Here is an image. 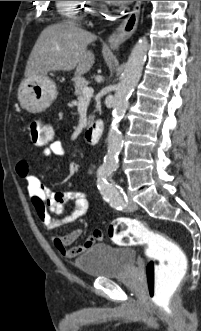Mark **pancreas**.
<instances>
[{
  "mask_svg": "<svg viewBox=\"0 0 201 331\" xmlns=\"http://www.w3.org/2000/svg\"><path fill=\"white\" fill-rule=\"evenodd\" d=\"M73 86H74V89H75V95L80 98L82 97V90L84 87L88 86V81L85 79V78H82V77H75L73 78ZM94 119V115H90L89 116V123H91Z\"/></svg>",
  "mask_w": 201,
  "mask_h": 331,
  "instance_id": "1",
  "label": "pancreas"
}]
</instances>
